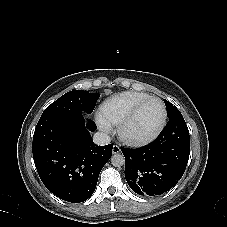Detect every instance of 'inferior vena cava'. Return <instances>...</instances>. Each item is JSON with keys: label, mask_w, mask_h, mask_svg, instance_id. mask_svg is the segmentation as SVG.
Wrapping results in <instances>:
<instances>
[{"label": "inferior vena cava", "mask_w": 227, "mask_h": 227, "mask_svg": "<svg viewBox=\"0 0 227 227\" xmlns=\"http://www.w3.org/2000/svg\"><path fill=\"white\" fill-rule=\"evenodd\" d=\"M110 141H111L110 136L104 132H96L93 135V142L96 145H100V146L107 145L110 143Z\"/></svg>", "instance_id": "inferior-vena-cava-1"}]
</instances>
